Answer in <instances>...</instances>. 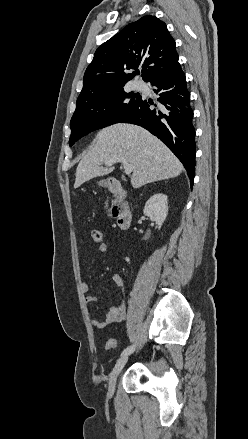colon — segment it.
<instances>
[{
	"label": "colon",
	"instance_id": "1",
	"mask_svg": "<svg viewBox=\"0 0 248 439\" xmlns=\"http://www.w3.org/2000/svg\"><path fill=\"white\" fill-rule=\"evenodd\" d=\"M91 239L95 243H102L103 242V233L100 229L94 228L91 230ZM117 346V342L114 339L108 340L106 343V349H113Z\"/></svg>",
	"mask_w": 248,
	"mask_h": 439
}]
</instances>
